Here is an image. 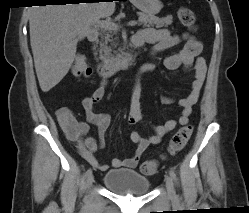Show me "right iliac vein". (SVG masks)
I'll return each mask as SVG.
<instances>
[{
  "label": "right iliac vein",
  "mask_w": 249,
  "mask_h": 213,
  "mask_svg": "<svg viewBox=\"0 0 249 213\" xmlns=\"http://www.w3.org/2000/svg\"><path fill=\"white\" fill-rule=\"evenodd\" d=\"M93 182H94V176L93 174H91L87 177V188H90Z\"/></svg>",
  "instance_id": "right-iliac-vein-1"
}]
</instances>
